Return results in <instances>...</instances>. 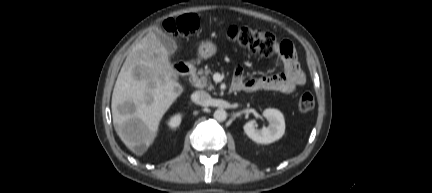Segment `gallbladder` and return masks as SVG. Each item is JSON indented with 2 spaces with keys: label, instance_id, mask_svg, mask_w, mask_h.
<instances>
[{
  "label": "gallbladder",
  "instance_id": "bac80fb5",
  "mask_svg": "<svg viewBox=\"0 0 432 193\" xmlns=\"http://www.w3.org/2000/svg\"><path fill=\"white\" fill-rule=\"evenodd\" d=\"M155 34H156L157 38L159 39V41L161 42V44L167 50L168 54L170 56L174 55L175 52L177 51V44H176L175 40L161 29H157L155 31Z\"/></svg>",
  "mask_w": 432,
  "mask_h": 193
}]
</instances>
